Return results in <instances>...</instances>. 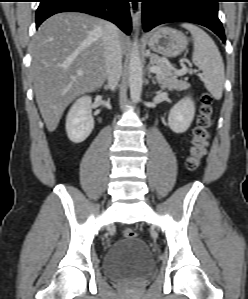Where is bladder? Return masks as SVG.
I'll list each match as a JSON object with an SVG mask.
<instances>
[{"label":"bladder","mask_w":248,"mask_h":299,"mask_svg":"<svg viewBox=\"0 0 248 299\" xmlns=\"http://www.w3.org/2000/svg\"><path fill=\"white\" fill-rule=\"evenodd\" d=\"M154 270V260L146 243L138 238L115 242L106 252L103 272L111 280H143Z\"/></svg>","instance_id":"obj_1"}]
</instances>
